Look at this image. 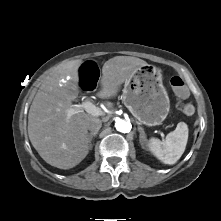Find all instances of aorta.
Segmentation results:
<instances>
[{"label":"aorta","mask_w":221,"mask_h":221,"mask_svg":"<svg viewBox=\"0 0 221 221\" xmlns=\"http://www.w3.org/2000/svg\"><path fill=\"white\" fill-rule=\"evenodd\" d=\"M115 128L119 132L127 133L131 130V125L129 122H126L125 120L118 119L116 120Z\"/></svg>","instance_id":"aorta-1"}]
</instances>
